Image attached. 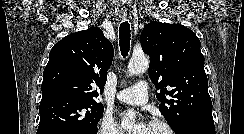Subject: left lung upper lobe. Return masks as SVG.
I'll return each instance as SVG.
<instances>
[{"label":"left lung upper lobe","mask_w":244,"mask_h":134,"mask_svg":"<svg viewBox=\"0 0 244 134\" xmlns=\"http://www.w3.org/2000/svg\"><path fill=\"white\" fill-rule=\"evenodd\" d=\"M159 110L177 134L193 121L214 123L200 40L181 24L148 23L141 33Z\"/></svg>","instance_id":"obj_1"}]
</instances>
